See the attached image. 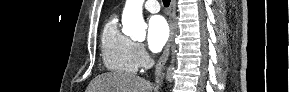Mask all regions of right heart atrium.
Listing matches in <instances>:
<instances>
[{"instance_id": "1", "label": "right heart atrium", "mask_w": 289, "mask_h": 92, "mask_svg": "<svg viewBox=\"0 0 289 92\" xmlns=\"http://www.w3.org/2000/svg\"><path fill=\"white\" fill-rule=\"evenodd\" d=\"M134 56L138 67H144L148 64L149 56L142 44L140 43L134 44Z\"/></svg>"}]
</instances>
